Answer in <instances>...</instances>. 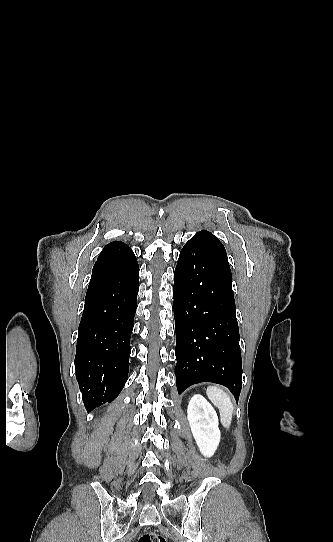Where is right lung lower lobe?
<instances>
[{"mask_svg":"<svg viewBox=\"0 0 333 542\" xmlns=\"http://www.w3.org/2000/svg\"><path fill=\"white\" fill-rule=\"evenodd\" d=\"M138 276L134 253L120 241L106 245L93 267L75 356L88 411L113 401L126 383Z\"/></svg>","mask_w":333,"mask_h":542,"instance_id":"98d812e1","label":"right lung lower lobe"}]
</instances>
